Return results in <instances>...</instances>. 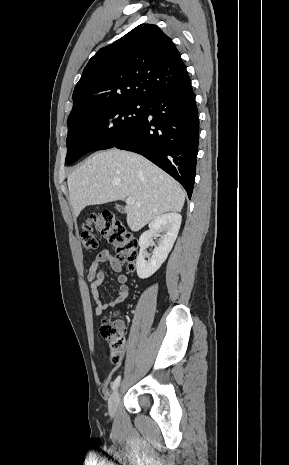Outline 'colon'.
<instances>
[{"label":"colon","mask_w":289,"mask_h":465,"mask_svg":"<svg viewBox=\"0 0 289 465\" xmlns=\"http://www.w3.org/2000/svg\"><path fill=\"white\" fill-rule=\"evenodd\" d=\"M96 231H99L115 247L118 261L129 270H133L137 257V241L111 212L93 214L83 224L80 240L84 249L94 250L97 248ZM100 335L109 344L110 360L112 362L119 361L125 351L126 340L118 322L108 318L103 319Z\"/></svg>","instance_id":"1"}]
</instances>
